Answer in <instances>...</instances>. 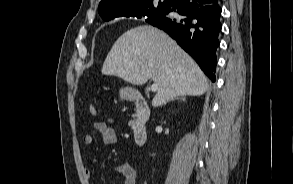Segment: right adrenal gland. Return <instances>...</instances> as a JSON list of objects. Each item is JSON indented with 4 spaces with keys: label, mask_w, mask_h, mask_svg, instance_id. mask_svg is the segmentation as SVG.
I'll return each instance as SVG.
<instances>
[{
    "label": "right adrenal gland",
    "mask_w": 293,
    "mask_h": 184,
    "mask_svg": "<svg viewBox=\"0 0 293 184\" xmlns=\"http://www.w3.org/2000/svg\"><path fill=\"white\" fill-rule=\"evenodd\" d=\"M175 99H179V100H181V101H185V100H186V97H185V96H181V97H177V98H175ZM172 100H174V99H172Z\"/></svg>",
    "instance_id": "1"
}]
</instances>
